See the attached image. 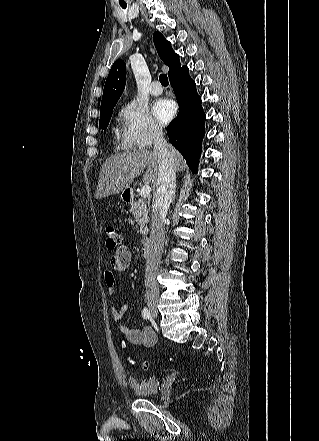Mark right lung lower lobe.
<instances>
[{
    "label": "right lung lower lobe",
    "mask_w": 319,
    "mask_h": 441,
    "mask_svg": "<svg viewBox=\"0 0 319 441\" xmlns=\"http://www.w3.org/2000/svg\"><path fill=\"white\" fill-rule=\"evenodd\" d=\"M170 83L174 89L179 112L167 127L171 144L183 155L189 168L196 173L204 136L205 114L196 84L188 74V67L173 73Z\"/></svg>",
    "instance_id": "98d812e1"
}]
</instances>
